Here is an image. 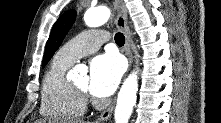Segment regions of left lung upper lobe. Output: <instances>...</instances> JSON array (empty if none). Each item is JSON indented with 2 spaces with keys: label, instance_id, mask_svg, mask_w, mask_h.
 <instances>
[{
  "label": "left lung upper lobe",
  "instance_id": "1",
  "mask_svg": "<svg viewBox=\"0 0 221 123\" xmlns=\"http://www.w3.org/2000/svg\"><path fill=\"white\" fill-rule=\"evenodd\" d=\"M75 18L76 11L68 10L55 22L46 44L44 59L42 62L43 68L46 66L47 62L52 58L55 51L61 45L64 37L73 25Z\"/></svg>",
  "mask_w": 221,
  "mask_h": 123
}]
</instances>
